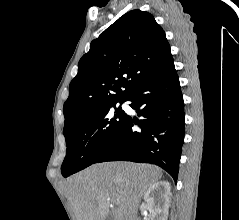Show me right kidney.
I'll return each mask as SVG.
<instances>
[{
	"instance_id": "right-kidney-1",
	"label": "right kidney",
	"mask_w": 239,
	"mask_h": 220,
	"mask_svg": "<svg viewBox=\"0 0 239 220\" xmlns=\"http://www.w3.org/2000/svg\"><path fill=\"white\" fill-rule=\"evenodd\" d=\"M171 185L168 181H158L148 188L144 200L151 220H167L170 206Z\"/></svg>"
}]
</instances>
